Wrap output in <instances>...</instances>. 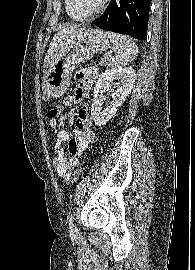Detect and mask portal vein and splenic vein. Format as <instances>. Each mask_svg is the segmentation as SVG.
I'll list each match as a JSON object with an SVG mask.
<instances>
[{
  "label": "portal vein and splenic vein",
  "instance_id": "1",
  "mask_svg": "<svg viewBox=\"0 0 195 270\" xmlns=\"http://www.w3.org/2000/svg\"><path fill=\"white\" fill-rule=\"evenodd\" d=\"M106 58H111V55L110 54H106Z\"/></svg>",
  "mask_w": 195,
  "mask_h": 270
}]
</instances>
